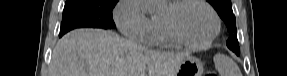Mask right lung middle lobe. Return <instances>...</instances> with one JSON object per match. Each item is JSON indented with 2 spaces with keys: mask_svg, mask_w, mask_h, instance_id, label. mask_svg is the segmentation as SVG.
Returning <instances> with one entry per match:
<instances>
[{
  "mask_svg": "<svg viewBox=\"0 0 287 76\" xmlns=\"http://www.w3.org/2000/svg\"><path fill=\"white\" fill-rule=\"evenodd\" d=\"M118 0H66L60 37L75 28L113 29L112 9Z\"/></svg>",
  "mask_w": 287,
  "mask_h": 76,
  "instance_id": "obj_1",
  "label": "right lung middle lobe"
}]
</instances>
